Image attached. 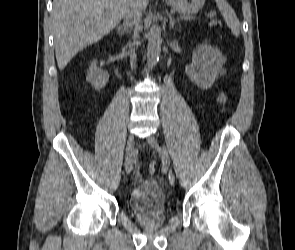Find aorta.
<instances>
[{"label":"aorta","mask_w":295,"mask_h":250,"mask_svg":"<svg viewBox=\"0 0 295 250\" xmlns=\"http://www.w3.org/2000/svg\"><path fill=\"white\" fill-rule=\"evenodd\" d=\"M161 30L157 25H152L148 33V45H147V63L150 67L155 66L161 53Z\"/></svg>","instance_id":"obj_1"}]
</instances>
